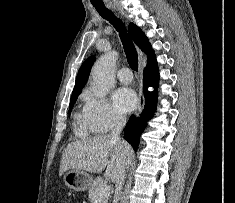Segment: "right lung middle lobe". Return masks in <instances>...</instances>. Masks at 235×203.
<instances>
[{
    "instance_id": "obj_1",
    "label": "right lung middle lobe",
    "mask_w": 235,
    "mask_h": 203,
    "mask_svg": "<svg viewBox=\"0 0 235 203\" xmlns=\"http://www.w3.org/2000/svg\"><path fill=\"white\" fill-rule=\"evenodd\" d=\"M78 95H79V93L72 94L71 100H70V105H69V113L71 112V110L77 100Z\"/></svg>"
}]
</instances>
